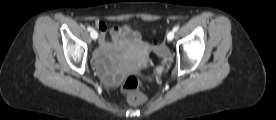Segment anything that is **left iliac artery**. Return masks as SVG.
Returning <instances> with one entry per match:
<instances>
[{
	"mask_svg": "<svg viewBox=\"0 0 276 120\" xmlns=\"http://www.w3.org/2000/svg\"><path fill=\"white\" fill-rule=\"evenodd\" d=\"M178 29H179L178 26H175V27L173 28V31L176 32V31H178Z\"/></svg>",
	"mask_w": 276,
	"mask_h": 120,
	"instance_id": "obj_1",
	"label": "left iliac artery"
}]
</instances>
